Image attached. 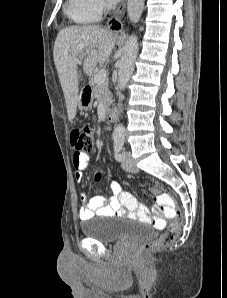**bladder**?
<instances>
[{
	"label": "bladder",
	"mask_w": 227,
	"mask_h": 298,
	"mask_svg": "<svg viewBox=\"0 0 227 298\" xmlns=\"http://www.w3.org/2000/svg\"><path fill=\"white\" fill-rule=\"evenodd\" d=\"M81 232L85 237L110 244L122 240L149 237L153 234V228L138 220L116 218L85 221L81 224Z\"/></svg>",
	"instance_id": "obj_1"
}]
</instances>
